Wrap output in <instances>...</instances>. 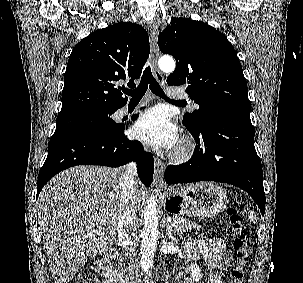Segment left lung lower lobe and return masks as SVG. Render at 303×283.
Returning <instances> with one entry per match:
<instances>
[{
  "label": "left lung lower lobe",
  "mask_w": 303,
  "mask_h": 283,
  "mask_svg": "<svg viewBox=\"0 0 303 283\" xmlns=\"http://www.w3.org/2000/svg\"><path fill=\"white\" fill-rule=\"evenodd\" d=\"M186 127L197 143L195 152L188 162L166 168V183L214 181L232 184L246 191L264 214L263 173L254 147L251 120L214 117L199 130Z\"/></svg>",
  "instance_id": "obj_1"
}]
</instances>
